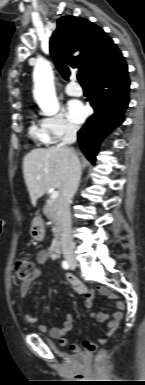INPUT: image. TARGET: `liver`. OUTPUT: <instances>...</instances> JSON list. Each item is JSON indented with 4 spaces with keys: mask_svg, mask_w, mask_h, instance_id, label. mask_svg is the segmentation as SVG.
Listing matches in <instances>:
<instances>
[{
    "mask_svg": "<svg viewBox=\"0 0 145 385\" xmlns=\"http://www.w3.org/2000/svg\"><path fill=\"white\" fill-rule=\"evenodd\" d=\"M73 155L78 157L73 149L59 145L36 148L26 154L23 159V174L33 205L50 188L63 186Z\"/></svg>",
    "mask_w": 145,
    "mask_h": 385,
    "instance_id": "6515ba94",
    "label": "liver"
}]
</instances>
